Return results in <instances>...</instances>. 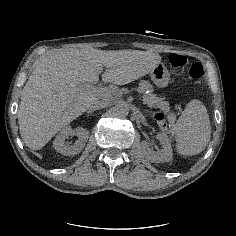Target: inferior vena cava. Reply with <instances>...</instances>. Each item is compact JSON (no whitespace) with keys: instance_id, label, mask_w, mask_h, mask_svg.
<instances>
[{"instance_id":"1","label":"inferior vena cava","mask_w":236,"mask_h":236,"mask_svg":"<svg viewBox=\"0 0 236 236\" xmlns=\"http://www.w3.org/2000/svg\"><path fill=\"white\" fill-rule=\"evenodd\" d=\"M109 103L110 102L107 101V100H99V101L95 102V104L92 105L90 107V109H92V110H94V109H102V108L107 107L109 105Z\"/></svg>"}]
</instances>
